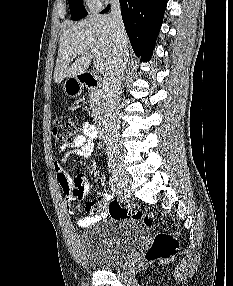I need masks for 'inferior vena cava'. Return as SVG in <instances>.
<instances>
[{"instance_id":"inferior-vena-cava-1","label":"inferior vena cava","mask_w":233,"mask_h":286,"mask_svg":"<svg viewBox=\"0 0 233 286\" xmlns=\"http://www.w3.org/2000/svg\"><path fill=\"white\" fill-rule=\"evenodd\" d=\"M111 17L115 30L114 57L103 79V113L106 132L110 134L109 145L118 137L119 128V91L128 62V44L121 17L119 0H111Z\"/></svg>"}]
</instances>
